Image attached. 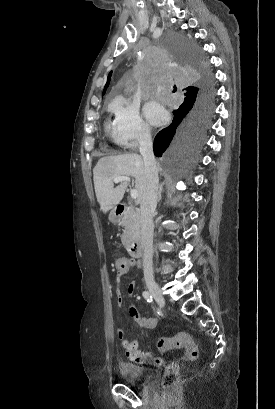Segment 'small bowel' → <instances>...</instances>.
Here are the masks:
<instances>
[{"label": "small bowel", "mask_w": 275, "mask_h": 409, "mask_svg": "<svg viewBox=\"0 0 275 409\" xmlns=\"http://www.w3.org/2000/svg\"><path fill=\"white\" fill-rule=\"evenodd\" d=\"M125 267L126 271H128L130 268H138L140 265L136 263L135 261H130L125 258ZM115 282L119 283L120 280L122 279V273H116L114 275ZM136 284L134 281L130 282L128 285V295L132 296L135 292ZM123 296L121 292L118 290L115 295L114 302L117 306H122L123 304ZM128 312L130 316L133 317V322L137 324L138 327L142 328H149L153 329L157 325V319L154 317L150 318H141L138 310L136 309L135 306H130L128 309ZM118 340L120 341V346L122 347L123 351H128L127 352V359L128 360H136L138 363L141 364H147V365H153V366H160L163 363V358L162 357H153L149 353H141L139 352V344L140 341L138 338H131V337H125V331L124 330H119L118 331Z\"/></svg>", "instance_id": "c3829d8e"}]
</instances>
